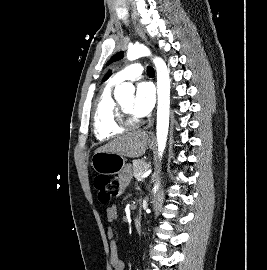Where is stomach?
Returning a JSON list of instances; mask_svg holds the SVG:
<instances>
[{
  "label": "stomach",
  "mask_w": 267,
  "mask_h": 270,
  "mask_svg": "<svg viewBox=\"0 0 267 270\" xmlns=\"http://www.w3.org/2000/svg\"><path fill=\"white\" fill-rule=\"evenodd\" d=\"M125 158L111 152H96L92 157L91 165L94 170L102 174H117L125 167Z\"/></svg>",
  "instance_id": "stomach-1"
}]
</instances>
